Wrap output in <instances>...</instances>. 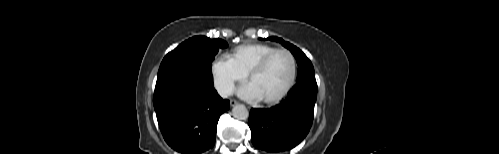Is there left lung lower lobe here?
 <instances>
[{
	"mask_svg": "<svg viewBox=\"0 0 499 154\" xmlns=\"http://www.w3.org/2000/svg\"><path fill=\"white\" fill-rule=\"evenodd\" d=\"M316 97V81H300L279 105L251 109L248 125L255 148L282 152L298 145L312 126Z\"/></svg>",
	"mask_w": 499,
	"mask_h": 154,
	"instance_id": "obj_1",
	"label": "left lung lower lobe"
}]
</instances>
